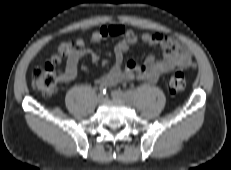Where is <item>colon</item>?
Returning a JSON list of instances; mask_svg holds the SVG:
<instances>
[{"instance_id":"1","label":"colon","mask_w":231,"mask_h":170,"mask_svg":"<svg viewBox=\"0 0 231 170\" xmlns=\"http://www.w3.org/2000/svg\"><path fill=\"white\" fill-rule=\"evenodd\" d=\"M73 44L70 42L63 43L58 48V53L54 55L49 62L43 67L37 69L33 74L32 86L39 91L44 97L50 98L58 91V82L61 75L55 69L62 58L66 57L73 49ZM186 87L184 74L176 70L169 79L168 88L172 93L181 92Z\"/></svg>"}]
</instances>
